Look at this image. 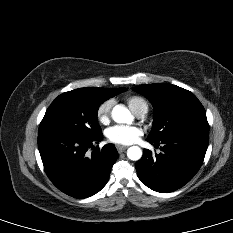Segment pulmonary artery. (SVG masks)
Wrapping results in <instances>:
<instances>
[{
	"instance_id": "1",
	"label": "pulmonary artery",
	"mask_w": 233,
	"mask_h": 233,
	"mask_svg": "<svg viewBox=\"0 0 233 233\" xmlns=\"http://www.w3.org/2000/svg\"><path fill=\"white\" fill-rule=\"evenodd\" d=\"M146 112H147L146 108H141L135 112V115L140 118L143 117L146 114Z\"/></svg>"
}]
</instances>
